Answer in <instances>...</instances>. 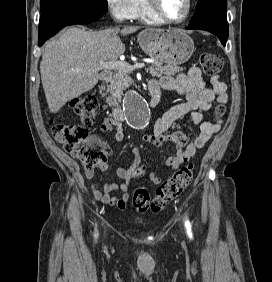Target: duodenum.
Here are the masks:
<instances>
[{"instance_id": "obj_1", "label": "duodenum", "mask_w": 272, "mask_h": 282, "mask_svg": "<svg viewBox=\"0 0 272 282\" xmlns=\"http://www.w3.org/2000/svg\"><path fill=\"white\" fill-rule=\"evenodd\" d=\"M113 71L112 70H106L102 72L101 74V80L102 81H109L112 78ZM148 92L150 95L149 100V106L154 108L156 107L160 102L161 97V88L159 85L158 80L156 79H150L148 81ZM110 115L114 120H122L123 119V111L121 107L117 104H113L110 108Z\"/></svg>"}]
</instances>
